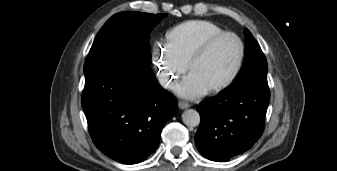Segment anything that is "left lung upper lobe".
I'll use <instances>...</instances> for the list:
<instances>
[{"instance_id": "5c2ea615", "label": "left lung upper lobe", "mask_w": 337, "mask_h": 171, "mask_svg": "<svg viewBox=\"0 0 337 171\" xmlns=\"http://www.w3.org/2000/svg\"><path fill=\"white\" fill-rule=\"evenodd\" d=\"M244 35L246 47L243 66L233 83L225 90L253 83L268 85L266 58L248 29H244Z\"/></svg>"}]
</instances>
